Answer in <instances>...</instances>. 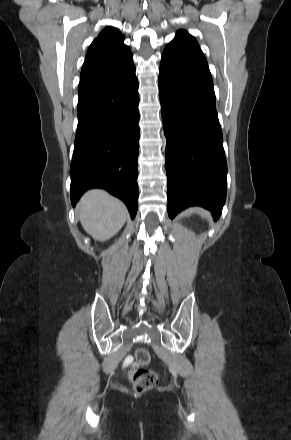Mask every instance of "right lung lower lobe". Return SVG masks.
<instances>
[{
    "label": "right lung lower lobe",
    "instance_id": "1",
    "mask_svg": "<svg viewBox=\"0 0 291 440\" xmlns=\"http://www.w3.org/2000/svg\"><path fill=\"white\" fill-rule=\"evenodd\" d=\"M78 95L70 167L72 205L86 190L103 188L120 198L134 219L140 138L135 67L114 77L80 82Z\"/></svg>",
    "mask_w": 291,
    "mask_h": 440
}]
</instances>
